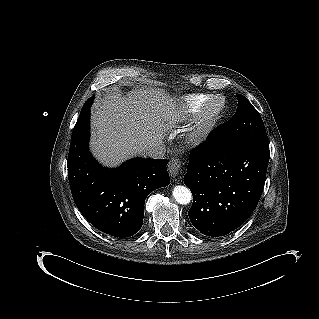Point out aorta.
Masks as SVG:
<instances>
[{
    "mask_svg": "<svg viewBox=\"0 0 319 319\" xmlns=\"http://www.w3.org/2000/svg\"><path fill=\"white\" fill-rule=\"evenodd\" d=\"M173 197L181 205L189 204L192 199L191 191L185 186H175L173 188Z\"/></svg>",
    "mask_w": 319,
    "mask_h": 319,
    "instance_id": "1",
    "label": "aorta"
}]
</instances>
